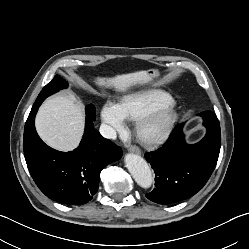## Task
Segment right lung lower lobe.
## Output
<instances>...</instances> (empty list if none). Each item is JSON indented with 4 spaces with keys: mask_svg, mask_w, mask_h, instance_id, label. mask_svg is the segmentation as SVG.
Returning a JSON list of instances; mask_svg holds the SVG:
<instances>
[{
    "mask_svg": "<svg viewBox=\"0 0 249 249\" xmlns=\"http://www.w3.org/2000/svg\"><path fill=\"white\" fill-rule=\"evenodd\" d=\"M42 100H36L24 129L23 150L29 172L50 199L69 205L85 204L97 192L100 172L122 156V149L103 138L86 117L85 132L78 148L60 152L38 136L34 120Z\"/></svg>",
    "mask_w": 249,
    "mask_h": 249,
    "instance_id": "right-lung-lower-lobe-1",
    "label": "right lung lower lobe"
}]
</instances>
